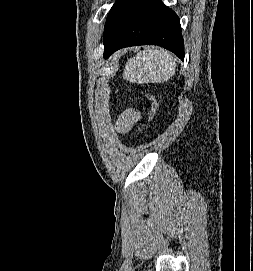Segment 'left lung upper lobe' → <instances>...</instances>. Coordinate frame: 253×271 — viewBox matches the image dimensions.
Segmentation results:
<instances>
[{
	"mask_svg": "<svg viewBox=\"0 0 253 271\" xmlns=\"http://www.w3.org/2000/svg\"><path fill=\"white\" fill-rule=\"evenodd\" d=\"M129 0H117L112 6L104 27V43L114 32Z\"/></svg>",
	"mask_w": 253,
	"mask_h": 271,
	"instance_id": "left-lung-upper-lobe-1",
	"label": "left lung upper lobe"
}]
</instances>
